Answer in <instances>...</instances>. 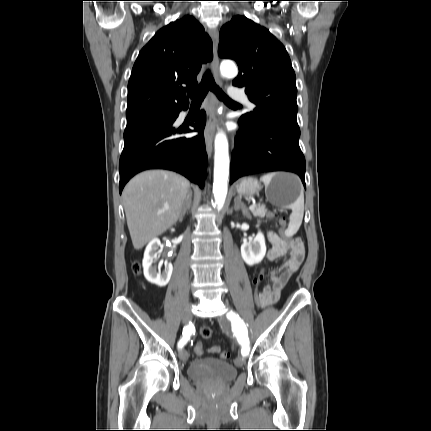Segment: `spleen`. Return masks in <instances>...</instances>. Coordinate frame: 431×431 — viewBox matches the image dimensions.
<instances>
[{
  "label": "spleen",
  "instance_id": "1",
  "mask_svg": "<svg viewBox=\"0 0 431 431\" xmlns=\"http://www.w3.org/2000/svg\"><path fill=\"white\" fill-rule=\"evenodd\" d=\"M275 173L263 175L260 179L265 185L269 184ZM292 213L289 218V225L286 230L287 236L294 235L300 228L304 215V194L301 192L299 198L290 206Z\"/></svg>",
  "mask_w": 431,
  "mask_h": 431
}]
</instances>
